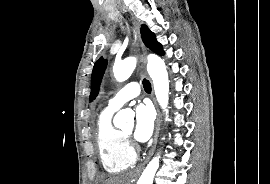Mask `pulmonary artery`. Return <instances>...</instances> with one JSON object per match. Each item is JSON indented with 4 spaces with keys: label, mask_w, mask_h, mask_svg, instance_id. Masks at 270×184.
Wrapping results in <instances>:
<instances>
[{
    "label": "pulmonary artery",
    "mask_w": 270,
    "mask_h": 184,
    "mask_svg": "<svg viewBox=\"0 0 270 184\" xmlns=\"http://www.w3.org/2000/svg\"><path fill=\"white\" fill-rule=\"evenodd\" d=\"M140 91L141 88L139 83H128L109 100L107 108L112 110L121 108L127 101L137 97L140 94Z\"/></svg>",
    "instance_id": "pulmonary-artery-1"
}]
</instances>
